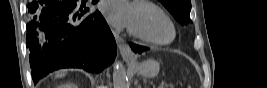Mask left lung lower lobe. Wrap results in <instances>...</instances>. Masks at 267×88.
Masks as SVG:
<instances>
[{
	"instance_id": "left-lung-lower-lobe-1",
	"label": "left lung lower lobe",
	"mask_w": 267,
	"mask_h": 88,
	"mask_svg": "<svg viewBox=\"0 0 267 88\" xmlns=\"http://www.w3.org/2000/svg\"><path fill=\"white\" fill-rule=\"evenodd\" d=\"M130 46H131V50L133 52H135V53H141L143 51L148 50L147 47L139 46V45H136V44H133V43H131Z\"/></svg>"
}]
</instances>
